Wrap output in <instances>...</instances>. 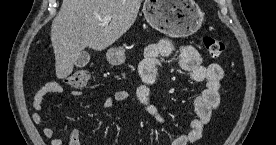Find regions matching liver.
Segmentation results:
<instances>
[{"instance_id":"obj_1","label":"liver","mask_w":276,"mask_h":145,"mask_svg":"<svg viewBox=\"0 0 276 145\" xmlns=\"http://www.w3.org/2000/svg\"><path fill=\"white\" fill-rule=\"evenodd\" d=\"M142 0H63L51 25L58 79L68 77L81 51H102L134 24ZM111 16L109 25L101 20Z\"/></svg>"}]
</instances>
